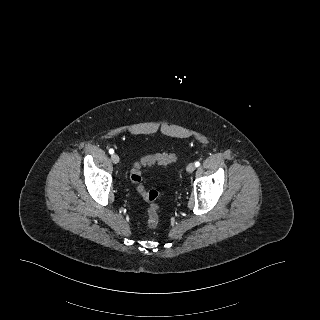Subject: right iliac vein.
<instances>
[{"instance_id":"obj_1","label":"right iliac vein","mask_w":320,"mask_h":320,"mask_svg":"<svg viewBox=\"0 0 320 320\" xmlns=\"http://www.w3.org/2000/svg\"><path fill=\"white\" fill-rule=\"evenodd\" d=\"M111 160H112V162H113L114 164H118L119 161H120L119 156H118L117 154H113V155L111 156Z\"/></svg>"}]
</instances>
